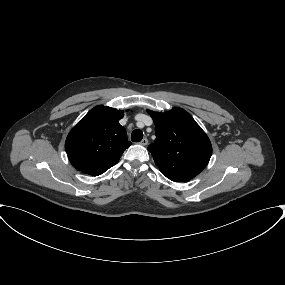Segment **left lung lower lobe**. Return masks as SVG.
<instances>
[{
  "instance_id": "left-lung-lower-lobe-1",
  "label": "left lung lower lobe",
  "mask_w": 285,
  "mask_h": 285,
  "mask_svg": "<svg viewBox=\"0 0 285 285\" xmlns=\"http://www.w3.org/2000/svg\"><path fill=\"white\" fill-rule=\"evenodd\" d=\"M165 176L174 182H183V181L187 182V181H189L188 179H183V178H179V177H172V176H167V175H165Z\"/></svg>"
}]
</instances>
